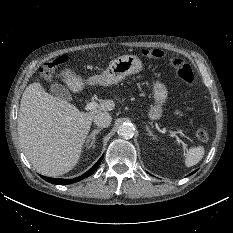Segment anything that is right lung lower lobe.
Wrapping results in <instances>:
<instances>
[{
  "mask_svg": "<svg viewBox=\"0 0 233 233\" xmlns=\"http://www.w3.org/2000/svg\"><path fill=\"white\" fill-rule=\"evenodd\" d=\"M103 156L97 161V163L90 169L88 170L86 173H84L82 176L75 178V179H59V178H49V177H45V176H41L44 180L53 183V184H58V185H66V184H71V183H75L78 182L88 176H90L91 174L94 173V171L97 169V167L99 166L100 162L102 161Z\"/></svg>",
  "mask_w": 233,
  "mask_h": 233,
  "instance_id": "obj_1",
  "label": "right lung lower lobe"
}]
</instances>
